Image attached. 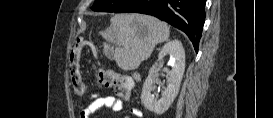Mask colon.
I'll return each instance as SVG.
<instances>
[{"label": "colon", "instance_id": "1", "mask_svg": "<svg viewBox=\"0 0 273 118\" xmlns=\"http://www.w3.org/2000/svg\"><path fill=\"white\" fill-rule=\"evenodd\" d=\"M82 48L83 43H78L74 46L68 63L70 84L78 95H82L84 92V83L79 68V57ZM94 77L98 83L115 89L117 94L122 98L127 99L129 97L130 89L132 87V82L129 78L117 73L102 71H95Z\"/></svg>", "mask_w": 273, "mask_h": 118}]
</instances>
